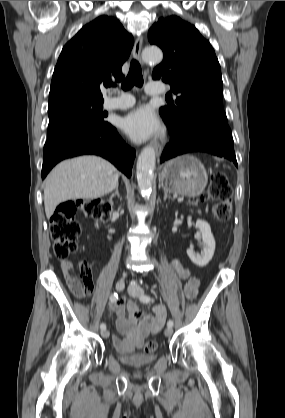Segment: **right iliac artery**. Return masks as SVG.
Segmentation results:
<instances>
[{
	"label": "right iliac artery",
	"mask_w": 285,
	"mask_h": 418,
	"mask_svg": "<svg viewBox=\"0 0 285 418\" xmlns=\"http://www.w3.org/2000/svg\"><path fill=\"white\" fill-rule=\"evenodd\" d=\"M118 293L117 292H114L113 294H111V296H110V301L111 302H116L117 300H118ZM100 329L101 330H105L106 329V324H104V323H102L101 325H100Z\"/></svg>",
	"instance_id": "1"
}]
</instances>
